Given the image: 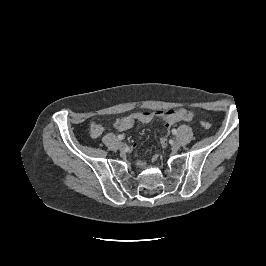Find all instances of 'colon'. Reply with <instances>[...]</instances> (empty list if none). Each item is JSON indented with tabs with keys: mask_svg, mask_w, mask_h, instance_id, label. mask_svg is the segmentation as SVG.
Segmentation results:
<instances>
[{
	"mask_svg": "<svg viewBox=\"0 0 266 266\" xmlns=\"http://www.w3.org/2000/svg\"><path fill=\"white\" fill-rule=\"evenodd\" d=\"M200 124L204 129H210L211 127V124L207 121H201Z\"/></svg>",
	"mask_w": 266,
	"mask_h": 266,
	"instance_id": "colon-1",
	"label": "colon"
}]
</instances>
